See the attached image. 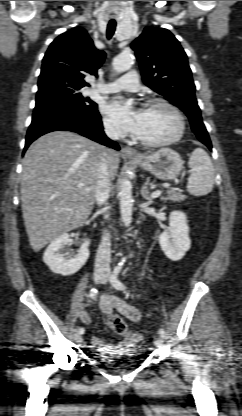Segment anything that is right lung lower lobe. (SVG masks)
I'll return each instance as SVG.
<instances>
[{
	"mask_svg": "<svg viewBox=\"0 0 242 416\" xmlns=\"http://www.w3.org/2000/svg\"><path fill=\"white\" fill-rule=\"evenodd\" d=\"M56 130L77 132L108 147L120 149L105 135L97 109L81 112L61 105H47L34 110L23 151L41 135Z\"/></svg>",
	"mask_w": 242,
	"mask_h": 416,
	"instance_id": "1",
	"label": "right lung lower lobe"
}]
</instances>
